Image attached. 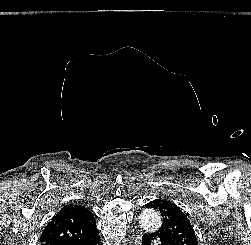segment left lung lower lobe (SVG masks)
Listing matches in <instances>:
<instances>
[{"instance_id": "obj_1", "label": "left lung lower lobe", "mask_w": 251, "mask_h": 245, "mask_svg": "<svg viewBox=\"0 0 251 245\" xmlns=\"http://www.w3.org/2000/svg\"><path fill=\"white\" fill-rule=\"evenodd\" d=\"M158 238L160 241L159 245H174L166 236L160 235L159 233L145 234L142 237V245H150L151 241Z\"/></svg>"}]
</instances>
